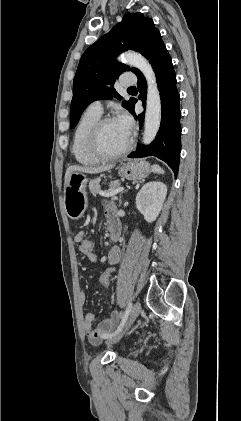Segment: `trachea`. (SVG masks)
Instances as JSON below:
<instances>
[{"instance_id": "obj_1", "label": "trachea", "mask_w": 241, "mask_h": 421, "mask_svg": "<svg viewBox=\"0 0 241 421\" xmlns=\"http://www.w3.org/2000/svg\"><path fill=\"white\" fill-rule=\"evenodd\" d=\"M134 89H136V88H135V87H130V88H129V90H134Z\"/></svg>"}]
</instances>
